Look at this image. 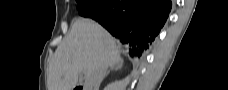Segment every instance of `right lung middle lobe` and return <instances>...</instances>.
<instances>
[{"mask_svg":"<svg viewBox=\"0 0 228 90\" xmlns=\"http://www.w3.org/2000/svg\"><path fill=\"white\" fill-rule=\"evenodd\" d=\"M77 3L80 15L92 18L106 6L107 0H77Z\"/></svg>","mask_w":228,"mask_h":90,"instance_id":"dd1d6c3e","label":"right lung middle lobe"}]
</instances>
